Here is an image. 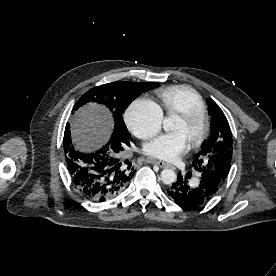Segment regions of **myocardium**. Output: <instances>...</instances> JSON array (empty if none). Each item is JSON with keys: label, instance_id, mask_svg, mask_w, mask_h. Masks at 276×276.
<instances>
[{"label": "myocardium", "instance_id": "myocardium-1", "mask_svg": "<svg viewBox=\"0 0 276 276\" xmlns=\"http://www.w3.org/2000/svg\"><path fill=\"white\" fill-rule=\"evenodd\" d=\"M188 125H198V132L191 142V148L200 147L206 140L209 133V119L205 111L193 109L178 115Z\"/></svg>", "mask_w": 276, "mask_h": 276}]
</instances>
